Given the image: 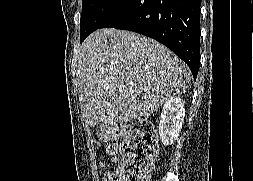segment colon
Listing matches in <instances>:
<instances>
[{
    "instance_id": "5ec220e1",
    "label": "colon",
    "mask_w": 253,
    "mask_h": 181,
    "mask_svg": "<svg viewBox=\"0 0 253 181\" xmlns=\"http://www.w3.org/2000/svg\"><path fill=\"white\" fill-rule=\"evenodd\" d=\"M153 124L145 119L113 123L104 132L106 140L122 138V160L107 181H149L158 155ZM108 149L114 150L112 146Z\"/></svg>"
}]
</instances>
